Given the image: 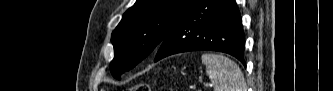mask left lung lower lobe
<instances>
[{
	"label": "left lung lower lobe",
	"mask_w": 333,
	"mask_h": 91,
	"mask_svg": "<svg viewBox=\"0 0 333 91\" xmlns=\"http://www.w3.org/2000/svg\"><path fill=\"white\" fill-rule=\"evenodd\" d=\"M245 36L235 0H198L157 48L155 62L188 51H219L244 66Z\"/></svg>",
	"instance_id": "1"
}]
</instances>
